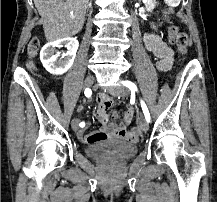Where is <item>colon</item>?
<instances>
[{"label": "colon", "instance_id": "colon-1", "mask_svg": "<svg viewBox=\"0 0 217 202\" xmlns=\"http://www.w3.org/2000/svg\"><path fill=\"white\" fill-rule=\"evenodd\" d=\"M165 15L169 16L170 11L166 10ZM168 35L172 39L173 43L176 45L179 53L182 55H185L187 52V48L190 44V39H189L188 34L186 32H184L183 30H179L176 26H170L168 28ZM39 46H40V41L37 37H33L28 44V47H27V54H28L27 68L29 70H33L35 68V65L32 61L37 54ZM131 131L137 132L138 128L132 127Z\"/></svg>", "mask_w": 217, "mask_h": 202}]
</instances>
